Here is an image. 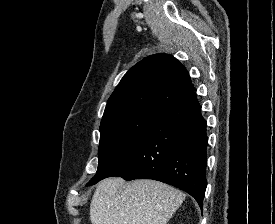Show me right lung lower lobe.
<instances>
[{"label": "right lung lower lobe", "mask_w": 275, "mask_h": 224, "mask_svg": "<svg viewBox=\"0 0 275 224\" xmlns=\"http://www.w3.org/2000/svg\"><path fill=\"white\" fill-rule=\"evenodd\" d=\"M195 92L166 110L143 141L109 175L153 179L189 193L202 208L207 133Z\"/></svg>", "instance_id": "98d812e1"}]
</instances>
